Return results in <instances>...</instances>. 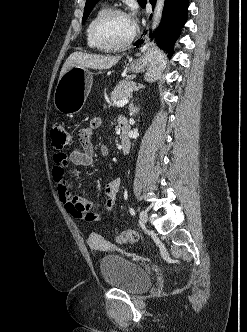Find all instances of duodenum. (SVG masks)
I'll use <instances>...</instances> for the list:
<instances>
[{"label": "duodenum", "mask_w": 247, "mask_h": 332, "mask_svg": "<svg viewBox=\"0 0 247 332\" xmlns=\"http://www.w3.org/2000/svg\"><path fill=\"white\" fill-rule=\"evenodd\" d=\"M119 127L121 129V151L123 154H127L131 148V139L128 132V124L125 117H119Z\"/></svg>", "instance_id": "410a0bca"}]
</instances>
